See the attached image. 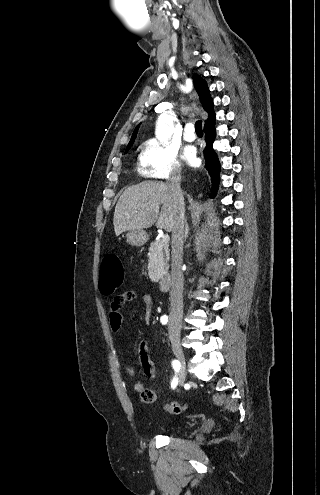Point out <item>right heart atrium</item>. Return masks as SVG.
Masks as SVG:
<instances>
[{"instance_id": "d8ad5b80", "label": "right heart atrium", "mask_w": 320, "mask_h": 495, "mask_svg": "<svg viewBox=\"0 0 320 495\" xmlns=\"http://www.w3.org/2000/svg\"><path fill=\"white\" fill-rule=\"evenodd\" d=\"M140 168L144 175L158 180L178 176L182 169L174 147L155 140L145 144L140 157Z\"/></svg>"}]
</instances>
